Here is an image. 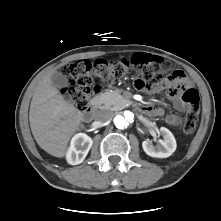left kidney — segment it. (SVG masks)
Instances as JSON below:
<instances>
[{"mask_svg": "<svg viewBox=\"0 0 221 221\" xmlns=\"http://www.w3.org/2000/svg\"><path fill=\"white\" fill-rule=\"evenodd\" d=\"M160 131L163 140L160 141L158 146H153L150 141L145 140L142 142V147L144 152L151 157L167 158L175 152L177 147L176 140L167 128L161 127Z\"/></svg>", "mask_w": 221, "mask_h": 221, "instance_id": "obj_1", "label": "left kidney"}]
</instances>
